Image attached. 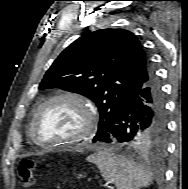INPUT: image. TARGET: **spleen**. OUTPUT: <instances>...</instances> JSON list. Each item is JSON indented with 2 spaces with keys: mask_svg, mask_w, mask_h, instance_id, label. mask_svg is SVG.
I'll list each match as a JSON object with an SVG mask.
<instances>
[{
  "mask_svg": "<svg viewBox=\"0 0 188 189\" xmlns=\"http://www.w3.org/2000/svg\"><path fill=\"white\" fill-rule=\"evenodd\" d=\"M97 165L103 178L117 189H139L152 182L151 174L141 165L110 151H99L87 157Z\"/></svg>",
  "mask_w": 188,
  "mask_h": 189,
  "instance_id": "1",
  "label": "spleen"
}]
</instances>
